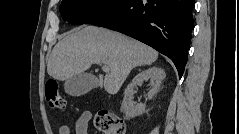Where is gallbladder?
Masks as SVG:
<instances>
[{
    "label": "gallbladder",
    "mask_w": 239,
    "mask_h": 134,
    "mask_svg": "<svg viewBox=\"0 0 239 134\" xmlns=\"http://www.w3.org/2000/svg\"><path fill=\"white\" fill-rule=\"evenodd\" d=\"M97 86V79L87 73H81L65 80V92L71 96H82Z\"/></svg>",
    "instance_id": "gallbladder-1"
}]
</instances>
